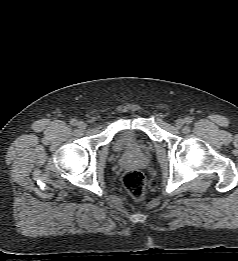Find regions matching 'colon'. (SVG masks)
Wrapping results in <instances>:
<instances>
[{
	"instance_id": "1",
	"label": "colon",
	"mask_w": 238,
	"mask_h": 261,
	"mask_svg": "<svg viewBox=\"0 0 238 261\" xmlns=\"http://www.w3.org/2000/svg\"><path fill=\"white\" fill-rule=\"evenodd\" d=\"M124 188L136 201L141 200L145 194V177L139 170L127 171L122 179Z\"/></svg>"
}]
</instances>
